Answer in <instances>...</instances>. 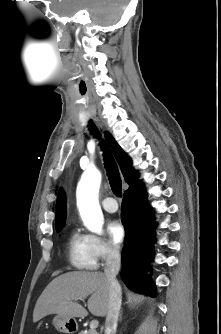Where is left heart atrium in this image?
<instances>
[{
	"mask_svg": "<svg viewBox=\"0 0 221 334\" xmlns=\"http://www.w3.org/2000/svg\"><path fill=\"white\" fill-rule=\"evenodd\" d=\"M107 230L109 237L114 244L118 245L123 241L125 237V229L120 220H111L108 223Z\"/></svg>",
	"mask_w": 221,
	"mask_h": 334,
	"instance_id": "39dd6f15",
	"label": "left heart atrium"
}]
</instances>
